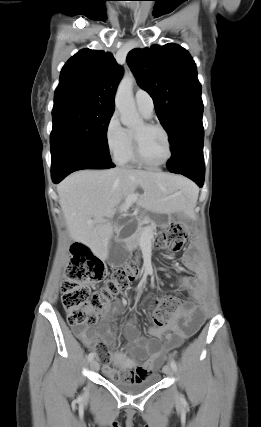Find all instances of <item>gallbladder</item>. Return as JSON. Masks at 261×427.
<instances>
[{
	"mask_svg": "<svg viewBox=\"0 0 261 427\" xmlns=\"http://www.w3.org/2000/svg\"><path fill=\"white\" fill-rule=\"evenodd\" d=\"M127 258L124 245L117 242L114 237L109 241L107 262L114 266L122 265Z\"/></svg>",
	"mask_w": 261,
	"mask_h": 427,
	"instance_id": "obj_1",
	"label": "gallbladder"
}]
</instances>
